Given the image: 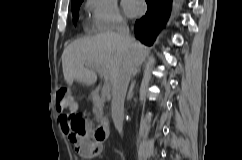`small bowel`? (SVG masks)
Returning a JSON list of instances; mask_svg holds the SVG:
<instances>
[{
  "label": "small bowel",
  "instance_id": "obj_1",
  "mask_svg": "<svg viewBox=\"0 0 242 160\" xmlns=\"http://www.w3.org/2000/svg\"><path fill=\"white\" fill-rule=\"evenodd\" d=\"M62 130L67 133L68 139L75 145L77 153L82 157H89L87 155L88 151L91 149V136H92V130L90 123L87 122V128L85 133L82 136H76L75 134H72L68 130V126L65 121L62 119L60 120Z\"/></svg>",
  "mask_w": 242,
  "mask_h": 160
}]
</instances>
